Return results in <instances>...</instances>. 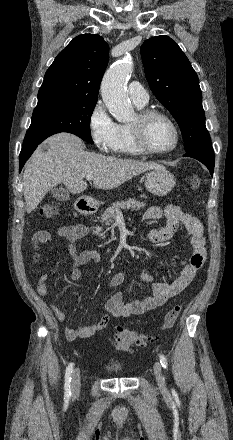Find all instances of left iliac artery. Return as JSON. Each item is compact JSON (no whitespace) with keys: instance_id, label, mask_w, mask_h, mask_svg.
Returning <instances> with one entry per match:
<instances>
[{"instance_id":"1","label":"left iliac artery","mask_w":233,"mask_h":440,"mask_svg":"<svg viewBox=\"0 0 233 440\" xmlns=\"http://www.w3.org/2000/svg\"><path fill=\"white\" fill-rule=\"evenodd\" d=\"M159 358H160V363H161L162 367L166 369L168 366V362H167L166 357L164 355L160 354Z\"/></svg>"}]
</instances>
